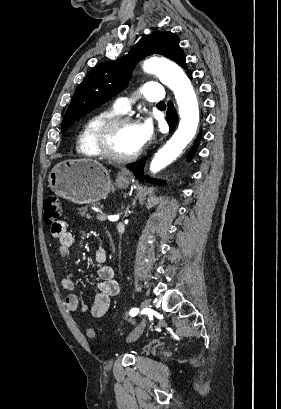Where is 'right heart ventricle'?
<instances>
[{
	"mask_svg": "<svg viewBox=\"0 0 281 409\" xmlns=\"http://www.w3.org/2000/svg\"><path fill=\"white\" fill-rule=\"evenodd\" d=\"M117 116L113 110H102L91 115L85 122L78 141V150L85 156L103 157L97 146V134L100 126Z\"/></svg>",
	"mask_w": 281,
	"mask_h": 409,
	"instance_id": "right-heart-ventricle-1",
	"label": "right heart ventricle"
}]
</instances>
